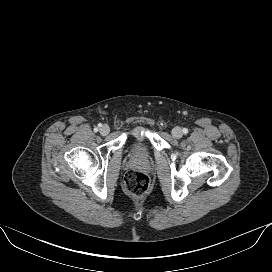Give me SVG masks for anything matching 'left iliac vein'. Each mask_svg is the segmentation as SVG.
<instances>
[{
	"label": "left iliac vein",
	"instance_id": "left-iliac-vein-1",
	"mask_svg": "<svg viewBox=\"0 0 272 272\" xmlns=\"http://www.w3.org/2000/svg\"><path fill=\"white\" fill-rule=\"evenodd\" d=\"M172 135L175 138H181L182 135H183L181 128L180 127H174L172 129Z\"/></svg>",
	"mask_w": 272,
	"mask_h": 272
}]
</instances>
